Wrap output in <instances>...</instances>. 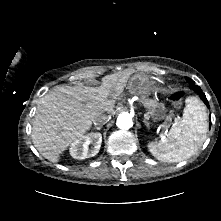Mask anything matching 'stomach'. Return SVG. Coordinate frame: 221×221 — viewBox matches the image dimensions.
I'll return each instance as SVG.
<instances>
[{
  "label": "stomach",
  "instance_id": "1",
  "mask_svg": "<svg viewBox=\"0 0 221 221\" xmlns=\"http://www.w3.org/2000/svg\"><path fill=\"white\" fill-rule=\"evenodd\" d=\"M128 90L140 99H147L154 92V80L146 74L135 75L128 83Z\"/></svg>",
  "mask_w": 221,
  "mask_h": 221
}]
</instances>
